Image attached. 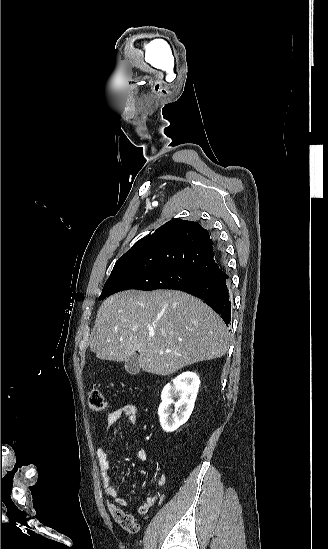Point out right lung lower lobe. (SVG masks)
Here are the masks:
<instances>
[{"label":"right lung lower lobe","instance_id":"1","mask_svg":"<svg viewBox=\"0 0 328 549\" xmlns=\"http://www.w3.org/2000/svg\"><path fill=\"white\" fill-rule=\"evenodd\" d=\"M217 251L219 257H222V251L218 246ZM221 273L213 278H207L195 284L185 286L179 290L185 291L192 295H195L203 299L213 310H215L228 326L231 320V301L229 294V277L226 273L224 265L222 264Z\"/></svg>","mask_w":328,"mask_h":549}]
</instances>
